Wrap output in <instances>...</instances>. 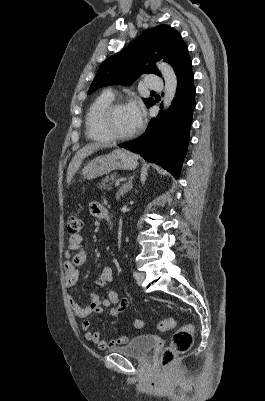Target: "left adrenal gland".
I'll list each match as a JSON object with an SVG mask.
<instances>
[{
	"label": "left adrenal gland",
	"mask_w": 265,
	"mask_h": 401,
	"mask_svg": "<svg viewBox=\"0 0 265 401\" xmlns=\"http://www.w3.org/2000/svg\"><path fill=\"white\" fill-rule=\"evenodd\" d=\"M133 178H135V174H132V176H129L128 182H125V184H123V186H120V188H118V190L116 192L117 201H120V196H123V194H126V192H128V190H131V188L133 186V182H132Z\"/></svg>",
	"instance_id": "a2214340"
}]
</instances>
